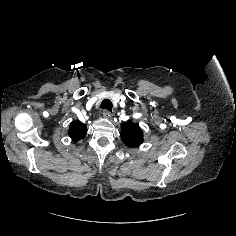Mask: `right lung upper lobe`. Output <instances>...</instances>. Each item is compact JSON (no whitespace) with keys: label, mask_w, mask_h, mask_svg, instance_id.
<instances>
[{"label":"right lung upper lobe","mask_w":236,"mask_h":236,"mask_svg":"<svg viewBox=\"0 0 236 236\" xmlns=\"http://www.w3.org/2000/svg\"><path fill=\"white\" fill-rule=\"evenodd\" d=\"M86 133H87V128L85 124L78 121H73L70 124L68 134L73 141L76 142L80 139H83Z\"/></svg>","instance_id":"right-lung-upper-lobe-1"}]
</instances>
